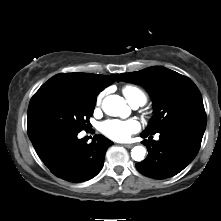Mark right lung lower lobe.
Instances as JSON below:
<instances>
[{
	"label": "right lung lower lobe",
	"instance_id": "obj_1",
	"mask_svg": "<svg viewBox=\"0 0 221 221\" xmlns=\"http://www.w3.org/2000/svg\"><path fill=\"white\" fill-rule=\"evenodd\" d=\"M78 133L40 130L28 134L38 156L57 177L69 182H84L103 167L105 153L113 142L97 135L87 144Z\"/></svg>",
	"mask_w": 221,
	"mask_h": 221
}]
</instances>
